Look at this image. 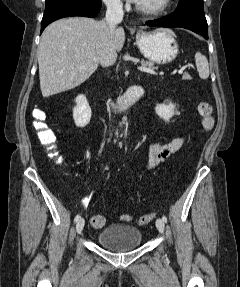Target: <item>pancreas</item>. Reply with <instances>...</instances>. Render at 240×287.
Returning a JSON list of instances; mask_svg holds the SVG:
<instances>
[{
  "label": "pancreas",
  "instance_id": "cf45deb5",
  "mask_svg": "<svg viewBox=\"0 0 240 287\" xmlns=\"http://www.w3.org/2000/svg\"><path fill=\"white\" fill-rule=\"evenodd\" d=\"M141 64H142V66H145V67H147L149 69H152V70L157 69V67L154 66V63L150 62V61L142 60ZM182 79L183 80H190L191 76L188 73H184L183 76H182Z\"/></svg>",
  "mask_w": 240,
  "mask_h": 287
}]
</instances>
